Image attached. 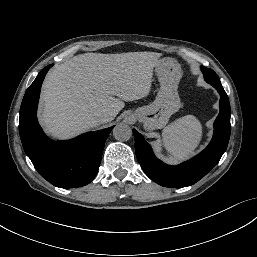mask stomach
Instances as JSON below:
<instances>
[{"label":"stomach","instance_id":"obj_1","mask_svg":"<svg viewBox=\"0 0 257 257\" xmlns=\"http://www.w3.org/2000/svg\"><path fill=\"white\" fill-rule=\"evenodd\" d=\"M155 71L160 83V89L153 103L136 109L134 115L144 124L146 130L161 129L166 126L172 114L181 107L177 91L181 79L178 63L170 58L159 60Z\"/></svg>","mask_w":257,"mask_h":257}]
</instances>
